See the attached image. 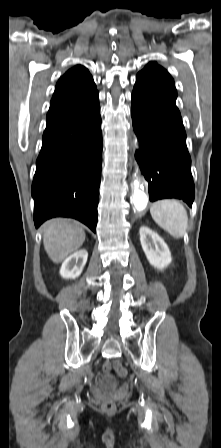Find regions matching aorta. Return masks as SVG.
Here are the masks:
<instances>
[{"label": "aorta", "instance_id": "762f6f07", "mask_svg": "<svg viewBox=\"0 0 221 448\" xmlns=\"http://www.w3.org/2000/svg\"><path fill=\"white\" fill-rule=\"evenodd\" d=\"M132 187L134 188L133 193V203L135 208L138 211H141L146 208L148 204V196L141 190H139V182L135 180L132 184Z\"/></svg>", "mask_w": 221, "mask_h": 448}]
</instances>
